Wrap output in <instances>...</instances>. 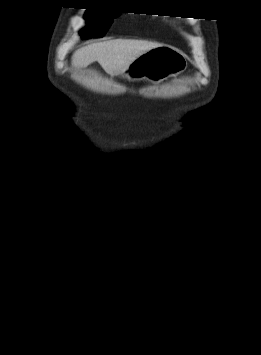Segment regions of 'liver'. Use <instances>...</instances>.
<instances>
[{"instance_id":"liver-1","label":"liver","mask_w":261,"mask_h":355,"mask_svg":"<svg viewBox=\"0 0 261 355\" xmlns=\"http://www.w3.org/2000/svg\"><path fill=\"white\" fill-rule=\"evenodd\" d=\"M159 46V43L133 39L94 43L75 51L72 62L79 69L98 61L108 74L122 73L140 55Z\"/></svg>"}]
</instances>
